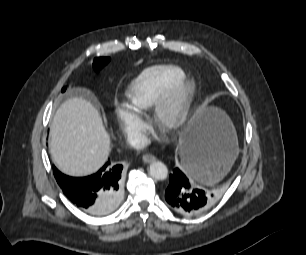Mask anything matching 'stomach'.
Returning a JSON list of instances; mask_svg holds the SVG:
<instances>
[{
  "label": "stomach",
  "mask_w": 306,
  "mask_h": 255,
  "mask_svg": "<svg viewBox=\"0 0 306 255\" xmlns=\"http://www.w3.org/2000/svg\"><path fill=\"white\" fill-rule=\"evenodd\" d=\"M179 144L182 158L190 144L216 154L212 177L191 174L196 181L205 184L222 179L230 170L238 152L236 132L231 120L215 107L202 108L191 117L180 136Z\"/></svg>",
  "instance_id": "obj_1"
}]
</instances>
